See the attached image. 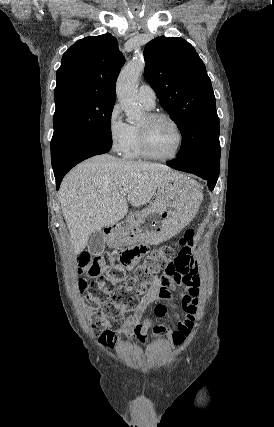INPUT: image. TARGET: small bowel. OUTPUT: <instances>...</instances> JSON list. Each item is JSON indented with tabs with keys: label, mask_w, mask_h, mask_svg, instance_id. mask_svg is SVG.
<instances>
[{
	"label": "small bowel",
	"mask_w": 274,
	"mask_h": 427,
	"mask_svg": "<svg viewBox=\"0 0 274 427\" xmlns=\"http://www.w3.org/2000/svg\"><path fill=\"white\" fill-rule=\"evenodd\" d=\"M193 250L194 247L185 244L180 254L171 256V259L178 261L177 264H170L164 275L153 278L147 292L138 300L134 312L124 321L117 324L106 323V329L101 335V342L104 345L112 346L116 341L117 334L122 332L129 339L136 338L142 345H147L149 342L148 331L153 327V322L151 318L146 317V313L151 305L159 301L171 302L175 309L185 314V318L179 321L178 329L171 337L175 344H182L185 341L195 323L200 294L199 269L195 262ZM141 254L127 265L125 271L128 272L134 268L139 262ZM122 280L123 278L119 283ZM176 286L181 289L174 290ZM158 309L159 311L152 313V318L155 320L154 335L157 338H162L165 336L162 327L166 326L169 308L167 304H160ZM176 323L175 319L169 320L170 326H175Z\"/></svg>",
	"instance_id": "c3829d8e"
}]
</instances>
